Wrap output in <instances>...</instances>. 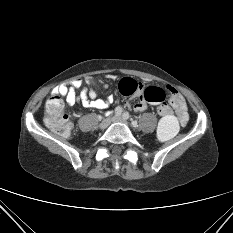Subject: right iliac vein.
Listing matches in <instances>:
<instances>
[{
  "label": "right iliac vein",
  "mask_w": 233,
  "mask_h": 233,
  "mask_svg": "<svg viewBox=\"0 0 233 233\" xmlns=\"http://www.w3.org/2000/svg\"><path fill=\"white\" fill-rule=\"evenodd\" d=\"M110 122H111V118L104 119L99 125L100 129L102 130L106 129L109 126Z\"/></svg>",
  "instance_id": "63e3f726"
}]
</instances>
